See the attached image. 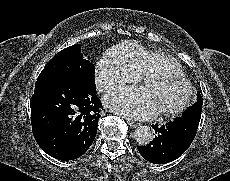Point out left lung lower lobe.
I'll list each match as a JSON object with an SVG mask.
<instances>
[{
    "label": "left lung lower lobe",
    "mask_w": 230,
    "mask_h": 181,
    "mask_svg": "<svg viewBox=\"0 0 230 181\" xmlns=\"http://www.w3.org/2000/svg\"><path fill=\"white\" fill-rule=\"evenodd\" d=\"M200 118L201 110L190 108L172 122L162 126L152 125L155 138L146 146H137L139 153L154 164H165L177 159L191 145Z\"/></svg>",
    "instance_id": "left-lung-lower-lobe-1"
}]
</instances>
